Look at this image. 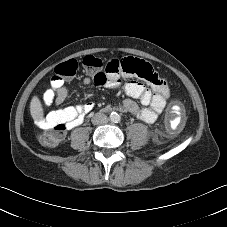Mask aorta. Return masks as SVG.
Here are the masks:
<instances>
[{
    "instance_id": "obj_1",
    "label": "aorta",
    "mask_w": 227,
    "mask_h": 227,
    "mask_svg": "<svg viewBox=\"0 0 227 227\" xmlns=\"http://www.w3.org/2000/svg\"><path fill=\"white\" fill-rule=\"evenodd\" d=\"M114 119H115V115L112 114V115H111V120H114Z\"/></svg>"
}]
</instances>
